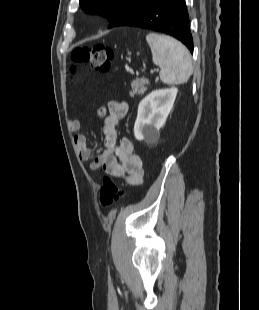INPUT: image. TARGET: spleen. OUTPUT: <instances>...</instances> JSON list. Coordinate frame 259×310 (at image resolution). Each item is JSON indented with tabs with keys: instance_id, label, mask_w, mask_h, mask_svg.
Here are the masks:
<instances>
[{
	"instance_id": "1",
	"label": "spleen",
	"mask_w": 259,
	"mask_h": 310,
	"mask_svg": "<svg viewBox=\"0 0 259 310\" xmlns=\"http://www.w3.org/2000/svg\"><path fill=\"white\" fill-rule=\"evenodd\" d=\"M152 52L153 63L161 67L160 79L165 84H181L193 73L192 59L188 49L176 39L162 34L146 36Z\"/></svg>"
}]
</instances>
